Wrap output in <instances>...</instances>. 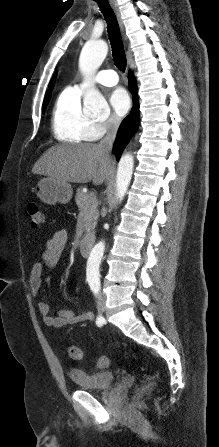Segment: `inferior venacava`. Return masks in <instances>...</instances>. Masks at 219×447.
Masks as SVG:
<instances>
[{
    "label": "inferior vena cava",
    "mask_w": 219,
    "mask_h": 447,
    "mask_svg": "<svg viewBox=\"0 0 219 447\" xmlns=\"http://www.w3.org/2000/svg\"><path fill=\"white\" fill-rule=\"evenodd\" d=\"M119 124H120V119L118 117H113L111 120V125L108 128L106 136L99 143V146L102 147L108 155L110 154V152L112 150Z\"/></svg>",
    "instance_id": "obj_1"
}]
</instances>
